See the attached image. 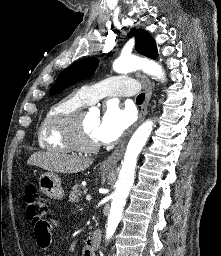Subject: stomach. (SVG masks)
Wrapping results in <instances>:
<instances>
[{"mask_svg":"<svg viewBox=\"0 0 221 256\" xmlns=\"http://www.w3.org/2000/svg\"><path fill=\"white\" fill-rule=\"evenodd\" d=\"M39 186L40 190L49 198L62 199L64 196L61 179L53 172L42 174L39 178Z\"/></svg>","mask_w":221,"mask_h":256,"instance_id":"0dacf381","label":"stomach"}]
</instances>
